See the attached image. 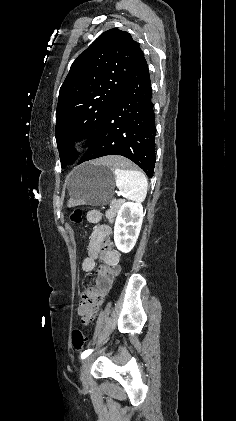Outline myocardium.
Masks as SVG:
<instances>
[{"mask_svg":"<svg viewBox=\"0 0 236 421\" xmlns=\"http://www.w3.org/2000/svg\"><path fill=\"white\" fill-rule=\"evenodd\" d=\"M84 141V137L83 136H77L75 137L72 141H71V146L72 148H76L78 146H80Z\"/></svg>","mask_w":236,"mask_h":421,"instance_id":"1","label":"myocardium"}]
</instances>
